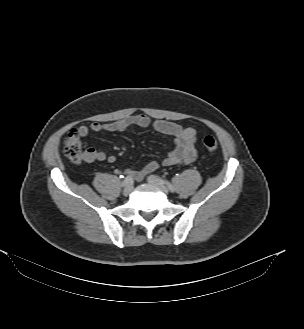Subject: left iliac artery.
I'll use <instances>...</instances> for the list:
<instances>
[{
	"instance_id": "obj_1",
	"label": "left iliac artery",
	"mask_w": 304,
	"mask_h": 329,
	"mask_svg": "<svg viewBox=\"0 0 304 329\" xmlns=\"http://www.w3.org/2000/svg\"><path fill=\"white\" fill-rule=\"evenodd\" d=\"M164 182H165V184L168 186V188H169V190H170L171 192H174V191H175L174 186H173L170 182H168L167 180H165Z\"/></svg>"
}]
</instances>
